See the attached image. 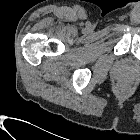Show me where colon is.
<instances>
[{
  "mask_svg": "<svg viewBox=\"0 0 140 140\" xmlns=\"http://www.w3.org/2000/svg\"><path fill=\"white\" fill-rule=\"evenodd\" d=\"M118 92L124 93L129 89V83L127 81H119L116 85Z\"/></svg>",
  "mask_w": 140,
  "mask_h": 140,
  "instance_id": "1",
  "label": "colon"
}]
</instances>
